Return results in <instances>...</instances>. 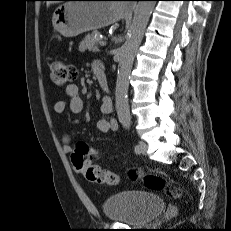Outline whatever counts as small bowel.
I'll return each instance as SVG.
<instances>
[{
    "label": "small bowel",
    "instance_id": "obj_1",
    "mask_svg": "<svg viewBox=\"0 0 231 231\" xmlns=\"http://www.w3.org/2000/svg\"><path fill=\"white\" fill-rule=\"evenodd\" d=\"M95 67V66H94ZM65 94L69 98V107L72 113L79 114L83 110V100L79 93V87L76 84H70L65 88ZM112 100L108 96H103L101 100L100 111L103 117L97 122V129L102 133L115 132L119 129L117 120L109 117L112 112ZM66 110V103L63 100H58L54 103V111L57 114H63ZM63 150L65 153L72 151V141L70 136L63 137ZM78 170V169H77ZM78 172H82L78 170Z\"/></svg>",
    "mask_w": 231,
    "mask_h": 231
}]
</instances>
